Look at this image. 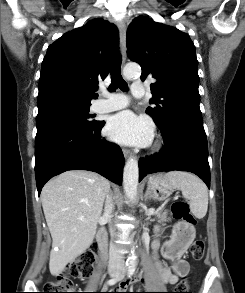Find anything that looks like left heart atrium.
<instances>
[{
  "mask_svg": "<svg viewBox=\"0 0 245 293\" xmlns=\"http://www.w3.org/2000/svg\"><path fill=\"white\" fill-rule=\"evenodd\" d=\"M106 134L121 144L144 146L152 139L153 125L146 117L123 111L108 119Z\"/></svg>",
  "mask_w": 245,
  "mask_h": 293,
  "instance_id": "39dd6f15",
  "label": "left heart atrium"
}]
</instances>
